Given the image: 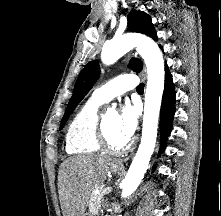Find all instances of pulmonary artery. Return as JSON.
I'll return each mask as SVG.
<instances>
[{
	"instance_id": "pulmonary-artery-1",
	"label": "pulmonary artery",
	"mask_w": 221,
	"mask_h": 216,
	"mask_svg": "<svg viewBox=\"0 0 221 216\" xmlns=\"http://www.w3.org/2000/svg\"><path fill=\"white\" fill-rule=\"evenodd\" d=\"M137 85L138 79L136 76L123 74L95 89L91 98L95 101L106 103L128 90L134 89Z\"/></svg>"
}]
</instances>
